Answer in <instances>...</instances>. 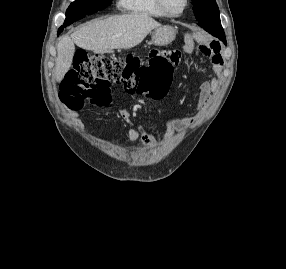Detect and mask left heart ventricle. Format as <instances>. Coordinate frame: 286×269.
<instances>
[{"label": "left heart ventricle", "instance_id": "b2bd125f", "mask_svg": "<svg viewBox=\"0 0 286 269\" xmlns=\"http://www.w3.org/2000/svg\"><path fill=\"white\" fill-rule=\"evenodd\" d=\"M166 3L171 11L178 13L183 8L184 0H166Z\"/></svg>", "mask_w": 286, "mask_h": 269}]
</instances>
